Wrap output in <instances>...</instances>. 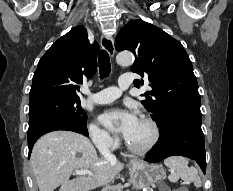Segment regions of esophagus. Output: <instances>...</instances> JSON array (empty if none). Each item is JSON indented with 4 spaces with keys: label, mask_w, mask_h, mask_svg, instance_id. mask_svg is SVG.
Returning <instances> with one entry per match:
<instances>
[{
    "label": "esophagus",
    "mask_w": 233,
    "mask_h": 191,
    "mask_svg": "<svg viewBox=\"0 0 233 191\" xmlns=\"http://www.w3.org/2000/svg\"><path fill=\"white\" fill-rule=\"evenodd\" d=\"M100 44H101V47L107 51L110 57L113 58L115 55V47H114L113 38L107 34H103L101 36Z\"/></svg>",
    "instance_id": "esophagus-1"
}]
</instances>
